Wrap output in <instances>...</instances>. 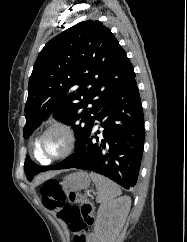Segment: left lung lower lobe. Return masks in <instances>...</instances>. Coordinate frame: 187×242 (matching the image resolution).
<instances>
[{"label": "left lung lower lobe", "mask_w": 187, "mask_h": 242, "mask_svg": "<svg viewBox=\"0 0 187 242\" xmlns=\"http://www.w3.org/2000/svg\"><path fill=\"white\" fill-rule=\"evenodd\" d=\"M84 140L51 169L78 168L104 175L122 187L136 185L144 145V114L132 79L97 114Z\"/></svg>", "instance_id": "left-lung-lower-lobe-1"}]
</instances>
